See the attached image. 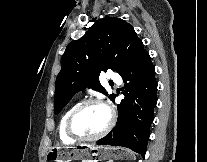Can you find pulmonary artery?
I'll use <instances>...</instances> for the list:
<instances>
[{"mask_svg": "<svg viewBox=\"0 0 207 162\" xmlns=\"http://www.w3.org/2000/svg\"><path fill=\"white\" fill-rule=\"evenodd\" d=\"M110 77L115 81L117 85H120L122 83V80L118 74H110Z\"/></svg>", "mask_w": 207, "mask_h": 162, "instance_id": "e3ab8cb5", "label": "pulmonary artery"}]
</instances>
